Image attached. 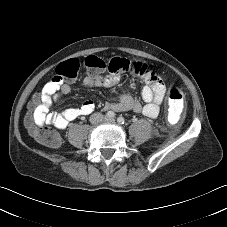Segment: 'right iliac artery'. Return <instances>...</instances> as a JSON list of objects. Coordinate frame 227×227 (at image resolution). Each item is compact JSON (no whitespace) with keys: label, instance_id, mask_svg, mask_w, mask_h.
Here are the masks:
<instances>
[{"label":"right iliac artery","instance_id":"right-iliac-artery-1","mask_svg":"<svg viewBox=\"0 0 227 227\" xmlns=\"http://www.w3.org/2000/svg\"><path fill=\"white\" fill-rule=\"evenodd\" d=\"M106 115H107L108 118H114L115 117V113L113 111H108Z\"/></svg>","mask_w":227,"mask_h":227}]
</instances>
